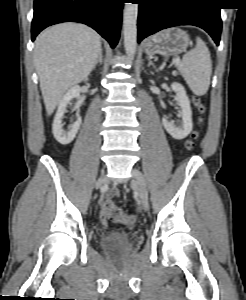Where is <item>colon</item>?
Wrapping results in <instances>:
<instances>
[{
  "label": "colon",
  "mask_w": 246,
  "mask_h": 300,
  "mask_svg": "<svg viewBox=\"0 0 246 300\" xmlns=\"http://www.w3.org/2000/svg\"><path fill=\"white\" fill-rule=\"evenodd\" d=\"M193 103L200 114L199 123H201L202 122L201 116L205 112V107L198 97H195L193 99ZM197 137H198V131L195 130L192 133L191 138L186 142V147L189 149L192 148L194 145V140ZM102 213L107 220H110V221H112L114 223H118V224L132 225L135 221L134 216L125 213L120 207L115 205L109 199H107L103 202Z\"/></svg>",
  "instance_id": "5ec220e1"
}]
</instances>
